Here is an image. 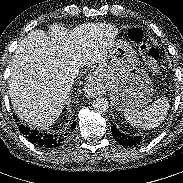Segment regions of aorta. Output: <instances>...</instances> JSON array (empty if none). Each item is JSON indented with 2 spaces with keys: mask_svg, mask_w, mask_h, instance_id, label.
I'll list each match as a JSON object with an SVG mask.
<instances>
[{
  "mask_svg": "<svg viewBox=\"0 0 183 183\" xmlns=\"http://www.w3.org/2000/svg\"><path fill=\"white\" fill-rule=\"evenodd\" d=\"M93 107L95 111L105 113L109 108V102L106 98L98 97L93 101Z\"/></svg>",
  "mask_w": 183,
  "mask_h": 183,
  "instance_id": "aorta-1",
  "label": "aorta"
}]
</instances>
